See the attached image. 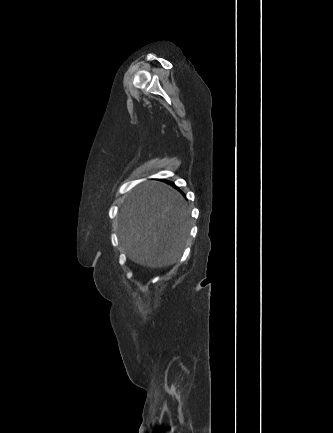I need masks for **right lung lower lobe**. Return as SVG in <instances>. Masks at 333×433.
Wrapping results in <instances>:
<instances>
[{
	"label": "right lung lower lobe",
	"mask_w": 333,
	"mask_h": 433,
	"mask_svg": "<svg viewBox=\"0 0 333 433\" xmlns=\"http://www.w3.org/2000/svg\"><path fill=\"white\" fill-rule=\"evenodd\" d=\"M167 182V181H166ZM169 184H171V185H173L174 187H175V185L173 184V183H171V182H168ZM177 188V187H176Z\"/></svg>",
	"instance_id": "obj_1"
}]
</instances>
